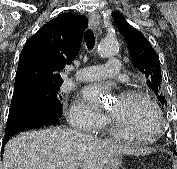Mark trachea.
Instances as JSON below:
<instances>
[{
	"label": "trachea",
	"instance_id": "obj_1",
	"mask_svg": "<svg viewBox=\"0 0 177 169\" xmlns=\"http://www.w3.org/2000/svg\"><path fill=\"white\" fill-rule=\"evenodd\" d=\"M86 46L89 50H92L95 45V36L92 30L88 29L85 33Z\"/></svg>",
	"mask_w": 177,
	"mask_h": 169
}]
</instances>
